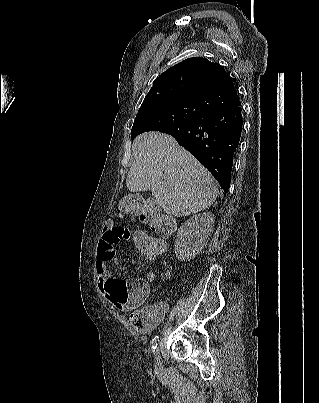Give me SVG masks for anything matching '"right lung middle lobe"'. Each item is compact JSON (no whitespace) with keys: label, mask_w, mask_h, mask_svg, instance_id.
Returning <instances> with one entry per match:
<instances>
[{"label":"right lung middle lobe","mask_w":319,"mask_h":403,"mask_svg":"<svg viewBox=\"0 0 319 403\" xmlns=\"http://www.w3.org/2000/svg\"><path fill=\"white\" fill-rule=\"evenodd\" d=\"M209 111L191 103H160L147 106L138 111L131 138L147 131H159L160 129L190 124L198 121Z\"/></svg>","instance_id":"obj_1"}]
</instances>
